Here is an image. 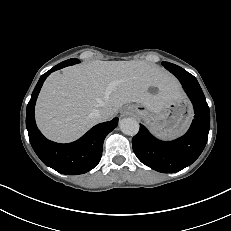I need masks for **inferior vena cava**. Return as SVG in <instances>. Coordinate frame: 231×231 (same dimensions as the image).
<instances>
[{
    "instance_id": "inferior-vena-cava-1",
    "label": "inferior vena cava",
    "mask_w": 231,
    "mask_h": 231,
    "mask_svg": "<svg viewBox=\"0 0 231 231\" xmlns=\"http://www.w3.org/2000/svg\"><path fill=\"white\" fill-rule=\"evenodd\" d=\"M94 116L99 120V122H104L109 120L113 116V113L106 109H101L97 110L94 113Z\"/></svg>"
}]
</instances>
